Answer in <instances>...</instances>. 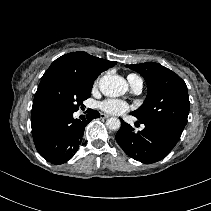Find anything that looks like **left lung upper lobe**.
Wrapping results in <instances>:
<instances>
[{"label": "left lung upper lobe", "mask_w": 211, "mask_h": 211, "mask_svg": "<svg viewBox=\"0 0 211 211\" xmlns=\"http://www.w3.org/2000/svg\"><path fill=\"white\" fill-rule=\"evenodd\" d=\"M126 67L140 73L148 87L144 103L130 114L141 122L162 124L182 134L190 109L185 82L158 63L146 62Z\"/></svg>", "instance_id": "obj_1"}]
</instances>
